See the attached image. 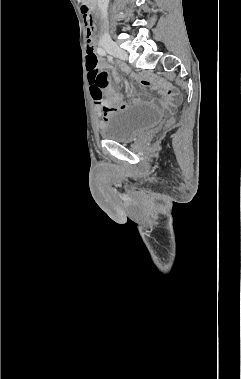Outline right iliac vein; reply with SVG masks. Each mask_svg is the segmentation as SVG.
Segmentation results:
<instances>
[{"label":"right iliac vein","mask_w":241,"mask_h":379,"mask_svg":"<svg viewBox=\"0 0 241 379\" xmlns=\"http://www.w3.org/2000/svg\"><path fill=\"white\" fill-rule=\"evenodd\" d=\"M103 47L110 53L112 54L113 56L115 57H118L122 60H126L127 59V53L118 47V45H116L115 43L113 42H108V43H104L103 44Z\"/></svg>","instance_id":"obj_1"}]
</instances>
